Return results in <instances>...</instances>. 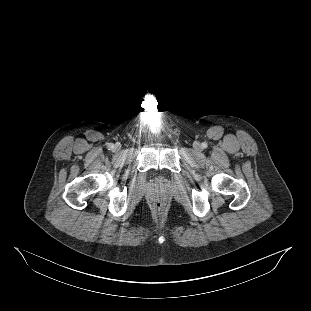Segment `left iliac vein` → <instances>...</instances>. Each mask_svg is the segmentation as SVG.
Listing matches in <instances>:
<instances>
[{"label": "left iliac vein", "instance_id": "4c4485c4", "mask_svg": "<svg viewBox=\"0 0 311 311\" xmlns=\"http://www.w3.org/2000/svg\"><path fill=\"white\" fill-rule=\"evenodd\" d=\"M194 148L197 150V151H199L200 149H201V145L199 144V143H195L194 144Z\"/></svg>", "mask_w": 311, "mask_h": 311}]
</instances>
